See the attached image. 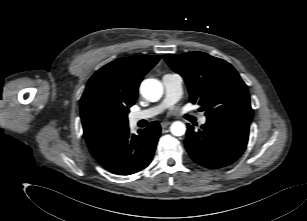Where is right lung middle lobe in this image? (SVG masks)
Masks as SVG:
<instances>
[{"label":"right lung middle lobe","instance_id":"1","mask_svg":"<svg viewBox=\"0 0 307 221\" xmlns=\"http://www.w3.org/2000/svg\"><path fill=\"white\" fill-rule=\"evenodd\" d=\"M112 115L111 114H108V113H105L102 117V121L103 122H109L111 119H112Z\"/></svg>","mask_w":307,"mask_h":221}]
</instances>
